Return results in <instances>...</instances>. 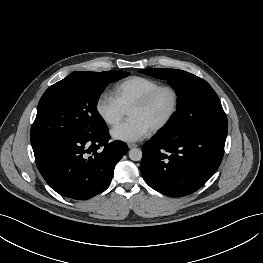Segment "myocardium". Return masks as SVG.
<instances>
[{
	"instance_id": "1",
	"label": "myocardium",
	"mask_w": 263,
	"mask_h": 263,
	"mask_svg": "<svg viewBox=\"0 0 263 263\" xmlns=\"http://www.w3.org/2000/svg\"><path fill=\"white\" fill-rule=\"evenodd\" d=\"M163 91H168L171 93L173 99L172 107L169 113L151 129V132H158L161 129L165 128L177 114L180 106V94L178 90L172 85H160L152 91H150L147 95H145L142 99H140L130 107V109L146 108L153 102V100L158 96V94Z\"/></svg>"
}]
</instances>
